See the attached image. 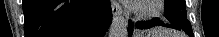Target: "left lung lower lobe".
<instances>
[{"label": "left lung lower lobe", "mask_w": 219, "mask_h": 37, "mask_svg": "<svg viewBox=\"0 0 219 37\" xmlns=\"http://www.w3.org/2000/svg\"><path fill=\"white\" fill-rule=\"evenodd\" d=\"M167 26V27H172V28H176V29H179L173 25H169V24H164L163 22L160 21L159 18H155L153 19L152 21L148 22V23H136V27L139 28V29H146V28H150V27H153V26ZM128 33H129V37L132 36V33H133V23L132 21H129V24H128ZM189 37H193V33H186Z\"/></svg>", "instance_id": "left-lung-lower-lobe-1"}]
</instances>
